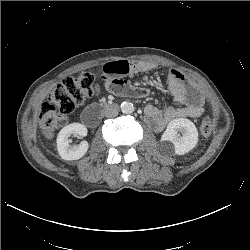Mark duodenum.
<instances>
[{
    "mask_svg": "<svg viewBox=\"0 0 250 250\" xmlns=\"http://www.w3.org/2000/svg\"><path fill=\"white\" fill-rule=\"evenodd\" d=\"M113 107L114 105L106 102L95 103L82 112L81 119L85 125L95 126L99 122L102 114Z\"/></svg>",
    "mask_w": 250,
    "mask_h": 250,
    "instance_id": "410a0bca",
    "label": "duodenum"
}]
</instances>
